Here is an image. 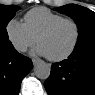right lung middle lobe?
Wrapping results in <instances>:
<instances>
[{
  "label": "right lung middle lobe",
  "mask_w": 95,
  "mask_h": 95,
  "mask_svg": "<svg viewBox=\"0 0 95 95\" xmlns=\"http://www.w3.org/2000/svg\"><path fill=\"white\" fill-rule=\"evenodd\" d=\"M19 7L16 5H0V45L10 44L6 26L9 21L15 16Z\"/></svg>",
  "instance_id": "right-lung-middle-lobe-1"
}]
</instances>
